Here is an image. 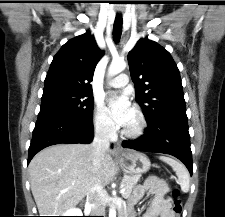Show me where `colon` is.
Here are the masks:
<instances>
[{
  "mask_svg": "<svg viewBox=\"0 0 225 217\" xmlns=\"http://www.w3.org/2000/svg\"><path fill=\"white\" fill-rule=\"evenodd\" d=\"M170 203H171L172 211H173L175 217H179V215L181 214V211H182V203L179 198L178 190H174L173 197H172Z\"/></svg>",
  "mask_w": 225,
  "mask_h": 217,
  "instance_id": "colon-1",
  "label": "colon"
}]
</instances>
